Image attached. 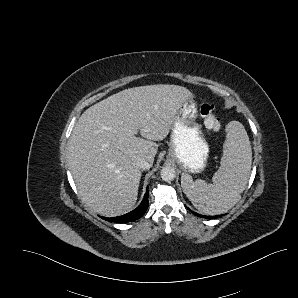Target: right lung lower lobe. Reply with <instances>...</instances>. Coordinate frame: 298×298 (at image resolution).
<instances>
[{
	"mask_svg": "<svg viewBox=\"0 0 298 298\" xmlns=\"http://www.w3.org/2000/svg\"><path fill=\"white\" fill-rule=\"evenodd\" d=\"M148 196H149V193L147 190L141 204L135 210H133L125 215H122L119 217H113V218H106V217H101V218L104 220H107L109 222H116V223H126V222H131V221L137 220L143 216V214L145 213V211L147 210V208L149 206Z\"/></svg>",
	"mask_w": 298,
	"mask_h": 298,
	"instance_id": "1",
	"label": "right lung lower lobe"
}]
</instances>
